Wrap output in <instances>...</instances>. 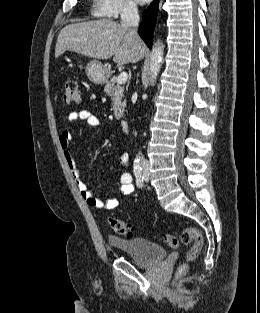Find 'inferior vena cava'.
<instances>
[{"instance_id": "1", "label": "inferior vena cava", "mask_w": 260, "mask_h": 313, "mask_svg": "<svg viewBox=\"0 0 260 313\" xmlns=\"http://www.w3.org/2000/svg\"><path fill=\"white\" fill-rule=\"evenodd\" d=\"M121 24L126 27H133V31L137 33V27L139 25V14L138 8L132 3H124L120 12ZM142 165L145 167L149 166L147 160L142 159Z\"/></svg>"}]
</instances>
